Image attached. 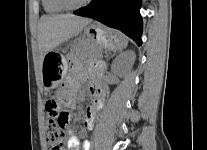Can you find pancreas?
I'll return each instance as SVG.
<instances>
[{
  "instance_id": "1",
  "label": "pancreas",
  "mask_w": 207,
  "mask_h": 150,
  "mask_svg": "<svg viewBox=\"0 0 207 150\" xmlns=\"http://www.w3.org/2000/svg\"><path fill=\"white\" fill-rule=\"evenodd\" d=\"M99 52H100V50H99L98 48L93 47V48H91V49L89 50L88 53H86V55L89 57V55H91V54H95V53H99ZM90 58H91V57H90Z\"/></svg>"
}]
</instances>
